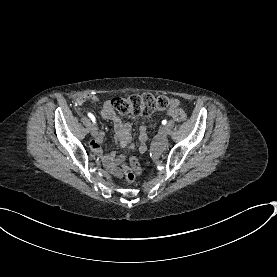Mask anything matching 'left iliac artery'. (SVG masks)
<instances>
[{
	"label": "left iliac artery",
	"mask_w": 277,
	"mask_h": 277,
	"mask_svg": "<svg viewBox=\"0 0 277 277\" xmlns=\"http://www.w3.org/2000/svg\"><path fill=\"white\" fill-rule=\"evenodd\" d=\"M166 123H167V121H166V120H163V121H162V124H163V125H165Z\"/></svg>",
	"instance_id": "1"
}]
</instances>
